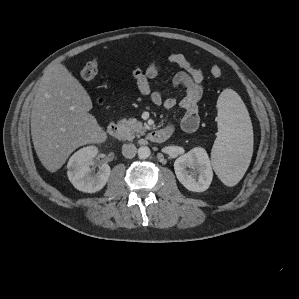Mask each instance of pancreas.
Masks as SVG:
<instances>
[{"mask_svg": "<svg viewBox=\"0 0 299 299\" xmlns=\"http://www.w3.org/2000/svg\"><path fill=\"white\" fill-rule=\"evenodd\" d=\"M119 125L124 129L130 138L135 136L140 137L141 135H144L147 130V127L144 126L142 122L137 121L135 118L121 119L119 121Z\"/></svg>", "mask_w": 299, "mask_h": 299, "instance_id": "1", "label": "pancreas"}]
</instances>
